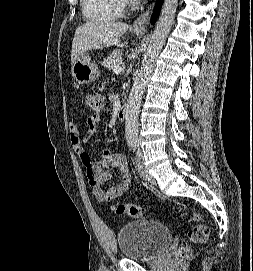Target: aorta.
<instances>
[{
    "label": "aorta",
    "instance_id": "obj_1",
    "mask_svg": "<svg viewBox=\"0 0 253 271\" xmlns=\"http://www.w3.org/2000/svg\"><path fill=\"white\" fill-rule=\"evenodd\" d=\"M178 0H164L160 17L153 31L141 67L134 80L125 112V137L127 141L138 138L139 108L154 63L159 55L174 21Z\"/></svg>",
    "mask_w": 253,
    "mask_h": 271
}]
</instances>
